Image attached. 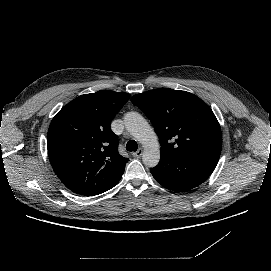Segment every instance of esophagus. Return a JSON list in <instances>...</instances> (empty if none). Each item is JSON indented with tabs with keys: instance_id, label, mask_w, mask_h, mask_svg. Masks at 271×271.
Returning <instances> with one entry per match:
<instances>
[{
	"instance_id": "obj_1",
	"label": "esophagus",
	"mask_w": 271,
	"mask_h": 271,
	"mask_svg": "<svg viewBox=\"0 0 271 271\" xmlns=\"http://www.w3.org/2000/svg\"><path fill=\"white\" fill-rule=\"evenodd\" d=\"M143 155V148H139L136 152L133 153L135 158H141Z\"/></svg>"
}]
</instances>
